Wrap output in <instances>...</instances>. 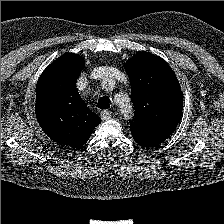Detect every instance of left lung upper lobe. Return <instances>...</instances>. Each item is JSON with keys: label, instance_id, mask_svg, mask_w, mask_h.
Listing matches in <instances>:
<instances>
[{"label": "left lung upper lobe", "instance_id": "left-lung-upper-lobe-1", "mask_svg": "<svg viewBox=\"0 0 224 224\" xmlns=\"http://www.w3.org/2000/svg\"><path fill=\"white\" fill-rule=\"evenodd\" d=\"M135 115L130 131L138 132L158 145L177 127L183 109L180 84L162 58L140 52L126 62Z\"/></svg>", "mask_w": 224, "mask_h": 224}]
</instances>
